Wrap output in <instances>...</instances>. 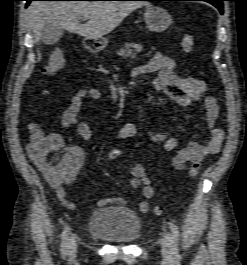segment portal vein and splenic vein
Returning a JSON list of instances; mask_svg holds the SVG:
<instances>
[{"instance_id": "portal-vein-and-splenic-vein-1", "label": "portal vein and splenic vein", "mask_w": 247, "mask_h": 265, "mask_svg": "<svg viewBox=\"0 0 247 265\" xmlns=\"http://www.w3.org/2000/svg\"><path fill=\"white\" fill-rule=\"evenodd\" d=\"M82 19L83 20H87V19H89V17L88 16H83Z\"/></svg>"}]
</instances>
